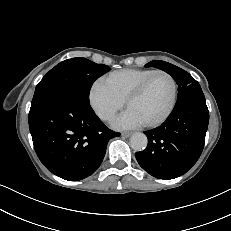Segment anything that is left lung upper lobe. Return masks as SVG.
I'll return each mask as SVG.
<instances>
[{"mask_svg": "<svg viewBox=\"0 0 231 231\" xmlns=\"http://www.w3.org/2000/svg\"><path fill=\"white\" fill-rule=\"evenodd\" d=\"M146 67H156L170 74L178 84V97L182 95L189 86L199 85V83L183 69L160 60H154L145 65Z\"/></svg>", "mask_w": 231, "mask_h": 231, "instance_id": "left-lung-upper-lobe-1", "label": "left lung upper lobe"}]
</instances>
